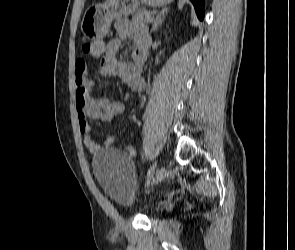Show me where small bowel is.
Segmentation results:
<instances>
[{"mask_svg": "<svg viewBox=\"0 0 295 250\" xmlns=\"http://www.w3.org/2000/svg\"><path fill=\"white\" fill-rule=\"evenodd\" d=\"M118 37L108 43L99 42L92 56L100 62L98 72L101 75H116L125 84L136 92L145 86L142 75L143 64L149 47V37L145 30L136 28L128 21L116 24ZM124 38H132L134 47L132 58L129 61H121L117 57L121 41ZM89 70L85 60L79 59L75 65V101L80 133L87 150L96 153L100 146L95 142L91 134L90 120L110 121L123 112L124 105L120 101L111 100L94 92V84L88 78ZM114 142L113 136L104 138V145L110 146ZM127 153L135 156L133 148L128 147Z\"/></svg>", "mask_w": 295, "mask_h": 250, "instance_id": "1", "label": "small bowel"}]
</instances>
